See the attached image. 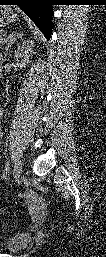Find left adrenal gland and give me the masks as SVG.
I'll return each mask as SVG.
<instances>
[{"label":"left adrenal gland","mask_w":106,"mask_h":257,"mask_svg":"<svg viewBox=\"0 0 106 257\" xmlns=\"http://www.w3.org/2000/svg\"><path fill=\"white\" fill-rule=\"evenodd\" d=\"M21 36H22V34L16 33V31H13L12 33H10V35L8 37L9 41L5 47V53H4L5 59L7 57V53H8L9 48L11 47V45L14 44L17 41V39Z\"/></svg>","instance_id":"1"}]
</instances>
